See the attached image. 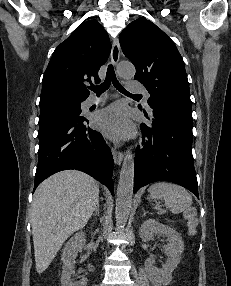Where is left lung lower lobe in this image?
Here are the masks:
<instances>
[{"label": "left lung lower lobe", "mask_w": 231, "mask_h": 286, "mask_svg": "<svg viewBox=\"0 0 231 286\" xmlns=\"http://www.w3.org/2000/svg\"><path fill=\"white\" fill-rule=\"evenodd\" d=\"M149 106L153 122L152 126H141L143 142L135 156L134 192L155 181H170L199 198L192 156L191 106L167 100H153Z\"/></svg>", "instance_id": "1"}]
</instances>
